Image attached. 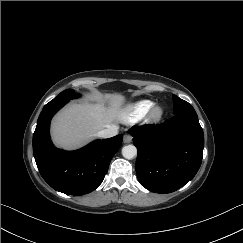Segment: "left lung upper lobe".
Segmentation results:
<instances>
[{
  "instance_id": "obj_1",
  "label": "left lung upper lobe",
  "mask_w": 243,
  "mask_h": 243,
  "mask_svg": "<svg viewBox=\"0 0 243 243\" xmlns=\"http://www.w3.org/2000/svg\"><path fill=\"white\" fill-rule=\"evenodd\" d=\"M174 101V115L198 118L194 108L186 101L180 99L178 96L173 95Z\"/></svg>"
}]
</instances>
